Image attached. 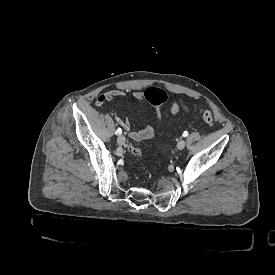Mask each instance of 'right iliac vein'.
Listing matches in <instances>:
<instances>
[{
  "label": "right iliac vein",
  "mask_w": 275,
  "mask_h": 275,
  "mask_svg": "<svg viewBox=\"0 0 275 275\" xmlns=\"http://www.w3.org/2000/svg\"><path fill=\"white\" fill-rule=\"evenodd\" d=\"M125 142H126L125 137H124L123 135H119L118 138H117V143H118L119 145H124Z\"/></svg>",
  "instance_id": "obj_1"
}]
</instances>
